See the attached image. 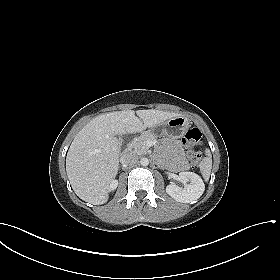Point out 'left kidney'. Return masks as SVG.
I'll use <instances>...</instances> for the list:
<instances>
[{
    "label": "left kidney",
    "instance_id": "obj_1",
    "mask_svg": "<svg viewBox=\"0 0 280 280\" xmlns=\"http://www.w3.org/2000/svg\"><path fill=\"white\" fill-rule=\"evenodd\" d=\"M179 180L184 187L171 183L166 187V192L177 202L190 203L201 197L205 185L201 177L193 172H180Z\"/></svg>",
    "mask_w": 280,
    "mask_h": 280
}]
</instances>
